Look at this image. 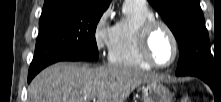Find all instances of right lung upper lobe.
I'll return each mask as SVG.
<instances>
[{
  "mask_svg": "<svg viewBox=\"0 0 221 102\" xmlns=\"http://www.w3.org/2000/svg\"><path fill=\"white\" fill-rule=\"evenodd\" d=\"M79 2L86 3L89 7L108 8L111 0H45L43 10L66 7Z\"/></svg>",
  "mask_w": 221,
  "mask_h": 102,
  "instance_id": "obj_1",
  "label": "right lung upper lobe"
}]
</instances>
